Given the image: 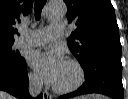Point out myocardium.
I'll list each match as a JSON object with an SVG mask.
<instances>
[{"instance_id": "myocardium-1", "label": "myocardium", "mask_w": 128, "mask_h": 99, "mask_svg": "<svg viewBox=\"0 0 128 99\" xmlns=\"http://www.w3.org/2000/svg\"><path fill=\"white\" fill-rule=\"evenodd\" d=\"M67 63H69L76 69L77 74H78L77 80L68 87H60L53 83L52 85L53 90L59 94L71 93L77 90L78 88H80L85 81V72H84L82 65L77 60H74V59L67 60Z\"/></svg>"}]
</instances>
